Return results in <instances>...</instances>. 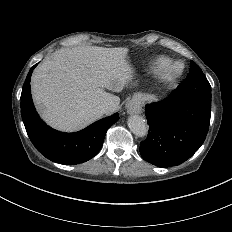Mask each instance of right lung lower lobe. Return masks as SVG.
I'll return each mask as SVG.
<instances>
[{
  "label": "right lung lower lobe",
  "mask_w": 232,
  "mask_h": 232,
  "mask_svg": "<svg viewBox=\"0 0 232 232\" xmlns=\"http://www.w3.org/2000/svg\"><path fill=\"white\" fill-rule=\"evenodd\" d=\"M36 65L27 75L20 104L31 142L41 154L56 163L76 165L90 160L100 151L108 128L119 120V114L103 118L76 133H62L50 128L38 116L31 97L30 78Z\"/></svg>",
  "instance_id": "right-lung-lower-lobe-1"
}]
</instances>
